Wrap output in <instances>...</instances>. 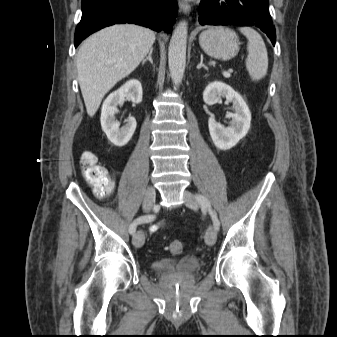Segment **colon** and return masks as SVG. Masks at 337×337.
Returning a JSON list of instances; mask_svg holds the SVG:
<instances>
[{"mask_svg":"<svg viewBox=\"0 0 337 337\" xmlns=\"http://www.w3.org/2000/svg\"><path fill=\"white\" fill-rule=\"evenodd\" d=\"M81 171L86 181L91 185L98 198H105L113 190V181L106 170L98 163L96 155L91 151H84L80 159ZM168 250L178 254L183 250V242L177 239L167 242Z\"/></svg>","mask_w":337,"mask_h":337,"instance_id":"obj_1","label":"colon"}]
</instances>
